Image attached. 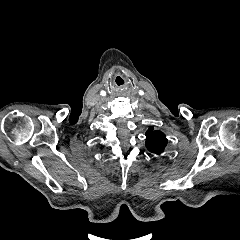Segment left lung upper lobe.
Here are the masks:
<instances>
[{"instance_id": "1", "label": "left lung upper lobe", "mask_w": 240, "mask_h": 240, "mask_svg": "<svg viewBox=\"0 0 240 240\" xmlns=\"http://www.w3.org/2000/svg\"><path fill=\"white\" fill-rule=\"evenodd\" d=\"M167 145L165 134L150 127L146 132V147L154 154H161Z\"/></svg>"}]
</instances>
